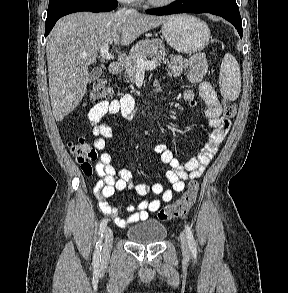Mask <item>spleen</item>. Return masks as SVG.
I'll return each mask as SVG.
<instances>
[{
  "instance_id": "spleen-1",
  "label": "spleen",
  "mask_w": 288,
  "mask_h": 293,
  "mask_svg": "<svg viewBox=\"0 0 288 293\" xmlns=\"http://www.w3.org/2000/svg\"><path fill=\"white\" fill-rule=\"evenodd\" d=\"M219 79L221 95L227 100H236L241 90L240 67L230 53L225 54L222 60Z\"/></svg>"
}]
</instances>
